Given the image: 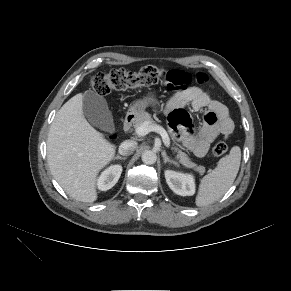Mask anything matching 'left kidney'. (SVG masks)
I'll use <instances>...</instances> for the list:
<instances>
[{"mask_svg":"<svg viewBox=\"0 0 291 291\" xmlns=\"http://www.w3.org/2000/svg\"><path fill=\"white\" fill-rule=\"evenodd\" d=\"M165 178L170 189L177 195L191 196L195 193V180L193 175L166 170Z\"/></svg>","mask_w":291,"mask_h":291,"instance_id":"left-kidney-1","label":"left kidney"}]
</instances>
